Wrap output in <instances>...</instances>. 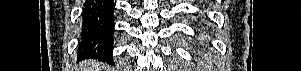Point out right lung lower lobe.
Here are the masks:
<instances>
[{
	"label": "right lung lower lobe",
	"instance_id": "right-lung-lower-lobe-1",
	"mask_svg": "<svg viewBox=\"0 0 301 71\" xmlns=\"http://www.w3.org/2000/svg\"><path fill=\"white\" fill-rule=\"evenodd\" d=\"M113 0H86L82 15L81 59L112 62L114 8Z\"/></svg>",
	"mask_w": 301,
	"mask_h": 71
}]
</instances>
